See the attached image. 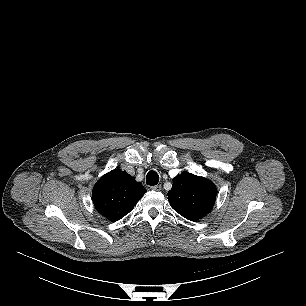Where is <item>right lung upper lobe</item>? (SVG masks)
Returning a JSON list of instances; mask_svg holds the SVG:
<instances>
[{"label":"right lung upper lobe","instance_id":"1","mask_svg":"<svg viewBox=\"0 0 306 306\" xmlns=\"http://www.w3.org/2000/svg\"><path fill=\"white\" fill-rule=\"evenodd\" d=\"M145 193L143 185L128 173L112 170L95 184L92 200L103 216L117 221L128 214Z\"/></svg>","mask_w":306,"mask_h":306}]
</instances>
